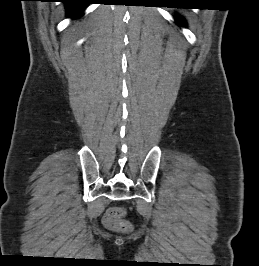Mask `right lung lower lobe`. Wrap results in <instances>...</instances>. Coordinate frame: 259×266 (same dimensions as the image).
<instances>
[{"mask_svg": "<svg viewBox=\"0 0 259 266\" xmlns=\"http://www.w3.org/2000/svg\"><path fill=\"white\" fill-rule=\"evenodd\" d=\"M93 0H63L62 3L66 5V12L71 17L78 16L84 8L91 4Z\"/></svg>", "mask_w": 259, "mask_h": 266, "instance_id": "1", "label": "right lung lower lobe"}]
</instances>
